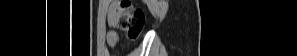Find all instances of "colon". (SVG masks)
<instances>
[{
  "label": "colon",
  "instance_id": "colon-1",
  "mask_svg": "<svg viewBox=\"0 0 297 56\" xmlns=\"http://www.w3.org/2000/svg\"><path fill=\"white\" fill-rule=\"evenodd\" d=\"M117 11L121 18V28L128 38L136 39L145 23V15L134 2L129 0L117 3Z\"/></svg>",
  "mask_w": 297,
  "mask_h": 56
}]
</instances>
